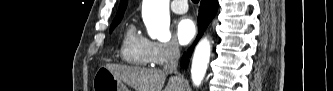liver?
Here are the masks:
<instances>
[{
	"instance_id": "liver-1",
	"label": "liver",
	"mask_w": 333,
	"mask_h": 91,
	"mask_svg": "<svg viewBox=\"0 0 333 91\" xmlns=\"http://www.w3.org/2000/svg\"><path fill=\"white\" fill-rule=\"evenodd\" d=\"M116 78L135 89V91H162L166 80L164 71L152 68H139L119 64H106ZM181 78L171 77L164 91H184Z\"/></svg>"
}]
</instances>
